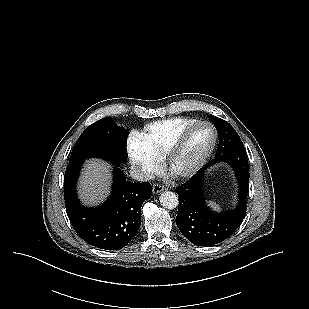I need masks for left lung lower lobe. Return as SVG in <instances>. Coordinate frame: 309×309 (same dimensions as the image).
Masks as SVG:
<instances>
[{
    "instance_id": "1",
    "label": "left lung lower lobe",
    "mask_w": 309,
    "mask_h": 309,
    "mask_svg": "<svg viewBox=\"0 0 309 309\" xmlns=\"http://www.w3.org/2000/svg\"><path fill=\"white\" fill-rule=\"evenodd\" d=\"M221 135V131L218 130ZM228 162L234 169L239 185L238 206L230 212L215 213L206 205L202 192L204 172L212 164ZM249 187V168L246 149L234 148L221 154L176 188L179 208L176 223L181 233L198 246H211L229 238L246 215V197Z\"/></svg>"
}]
</instances>
